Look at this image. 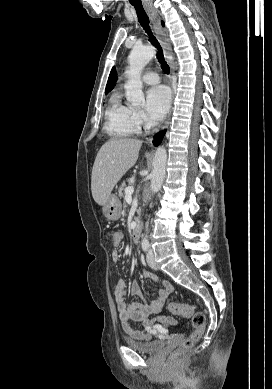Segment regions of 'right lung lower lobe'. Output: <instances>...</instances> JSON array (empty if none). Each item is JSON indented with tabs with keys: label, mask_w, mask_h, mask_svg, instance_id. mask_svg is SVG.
Instances as JSON below:
<instances>
[{
	"label": "right lung lower lobe",
	"mask_w": 272,
	"mask_h": 389,
	"mask_svg": "<svg viewBox=\"0 0 272 389\" xmlns=\"http://www.w3.org/2000/svg\"><path fill=\"white\" fill-rule=\"evenodd\" d=\"M164 134H165V130L162 131V132H160L159 134L155 135L154 140H153V144H154L155 146H157V145L160 144V142H161L162 139H163Z\"/></svg>",
	"instance_id": "1"
}]
</instances>
